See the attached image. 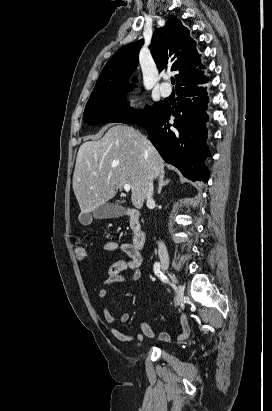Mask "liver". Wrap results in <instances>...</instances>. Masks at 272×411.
<instances>
[{"mask_svg":"<svg viewBox=\"0 0 272 411\" xmlns=\"http://www.w3.org/2000/svg\"><path fill=\"white\" fill-rule=\"evenodd\" d=\"M158 151L133 127L117 125L95 141L84 142L78 151L73 190L81 213L89 214L129 184L131 201L141 208L149 181L164 173Z\"/></svg>","mask_w":272,"mask_h":411,"instance_id":"obj_1","label":"liver"}]
</instances>
